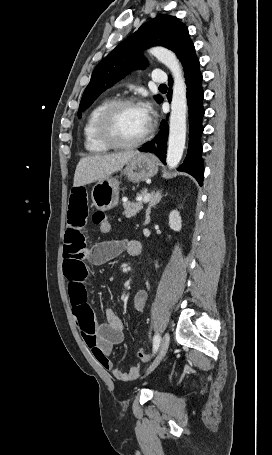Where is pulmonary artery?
Masks as SVG:
<instances>
[{"instance_id":"obj_1","label":"pulmonary artery","mask_w":272,"mask_h":455,"mask_svg":"<svg viewBox=\"0 0 272 455\" xmlns=\"http://www.w3.org/2000/svg\"><path fill=\"white\" fill-rule=\"evenodd\" d=\"M152 80L153 82L158 84H165L167 82V76L163 71L155 70L152 73Z\"/></svg>"}]
</instances>
